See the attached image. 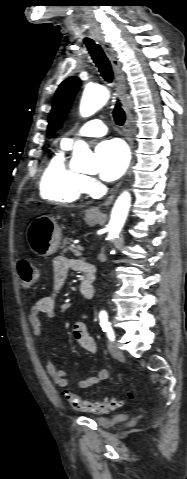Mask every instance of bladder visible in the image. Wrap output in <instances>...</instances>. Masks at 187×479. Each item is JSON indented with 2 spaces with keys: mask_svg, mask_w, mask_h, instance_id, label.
I'll use <instances>...</instances> for the list:
<instances>
[{
  "mask_svg": "<svg viewBox=\"0 0 187 479\" xmlns=\"http://www.w3.org/2000/svg\"><path fill=\"white\" fill-rule=\"evenodd\" d=\"M97 424L103 428H109L113 426L116 422L115 418H107V417H94L93 418Z\"/></svg>",
  "mask_w": 187,
  "mask_h": 479,
  "instance_id": "31cf9c89",
  "label": "bladder"
}]
</instances>
